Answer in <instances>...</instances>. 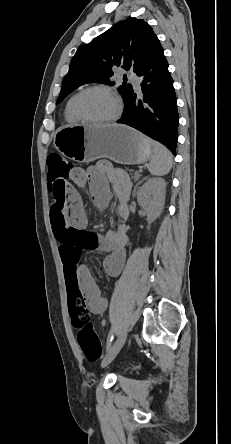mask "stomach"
Wrapping results in <instances>:
<instances>
[{
  "mask_svg": "<svg viewBox=\"0 0 231 444\" xmlns=\"http://www.w3.org/2000/svg\"><path fill=\"white\" fill-rule=\"evenodd\" d=\"M55 148L77 162L100 158L126 165L142 164L153 156L151 140L125 125L73 124L60 127Z\"/></svg>",
  "mask_w": 231,
  "mask_h": 444,
  "instance_id": "obj_1",
  "label": "stomach"
}]
</instances>
